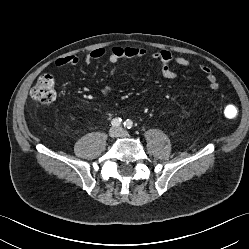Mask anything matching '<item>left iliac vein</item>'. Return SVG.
<instances>
[{
  "label": "left iliac vein",
  "mask_w": 249,
  "mask_h": 249,
  "mask_svg": "<svg viewBox=\"0 0 249 249\" xmlns=\"http://www.w3.org/2000/svg\"><path fill=\"white\" fill-rule=\"evenodd\" d=\"M119 134L121 136H127V133L124 130H122V129H119Z\"/></svg>",
  "instance_id": "obj_1"
}]
</instances>
